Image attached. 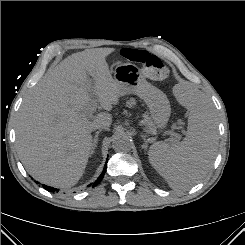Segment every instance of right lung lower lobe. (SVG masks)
Listing matches in <instances>:
<instances>
[{
    "label": "right lung lower lobe",
    "instance_id": "obj_1",
    "mask_svg": "<svg viewBox=\"0 0 245 245\" xmlns=\"http://www.w3.org/2000/svg\"><path fill=\"white\" fill-rule=\"evenodd\" d=\"M107 161H108V160H107ZM105 172H106V165H105V167H104V169H103L101 175L98 177V179H97V180L95 181V183L92 185V187L98 185V184L101 182V180H102L103 177H104ZM89 186H90V185H89ZM44 188H45L46 190H48V191H58L57 189H54L53 187H50V186H44Z\"/></svg>",
    "mask_w": 245,
    "mask_h": 245
}]
</instances>
